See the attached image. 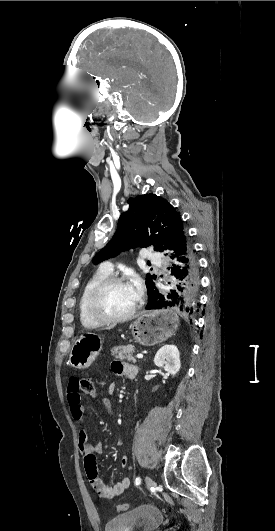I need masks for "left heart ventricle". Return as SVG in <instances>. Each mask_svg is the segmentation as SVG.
Instances as JSON below:
<instances>
[{
	"label": "left heart ventricle",
	"instance_id": "b2bd125f",
	"mask_svg": "<svg viewBox=\"0 0 275 531\" xmlns=\"http://www.w3.org/2000/svg\"><path fill=\"white\" fill-rule=\"evenodd\" d=\"M137 296L128 281L109 286L98 301L99 310L109 316L118 317L130 311Z\"/></svg>",
	"mask_w": 275,
	"mask_h": 531
}]
</instances>
